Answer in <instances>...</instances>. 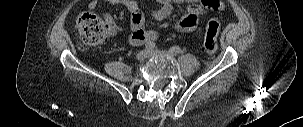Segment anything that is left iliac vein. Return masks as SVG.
Segmentation results:
<instances>
[{
    "mask_svg": "<svg viewBox=\"0 0 303 127\" xmlns=\"http://www.w3.org/2000/svg\"><path fill=\"white\" fill-rule=\"evenodd\" d=\"M150 56H153V57H167V58H171L173 57L174 55L169 52V51H163V50H159V49H155V50H151L149 51L148 53Z\"/></svg>",
    "mask_w": 303,
    "mask_h": 127,
    "instance_id": "4c4485c4",
    "label": "left iliac vein"
}]
</instances>
